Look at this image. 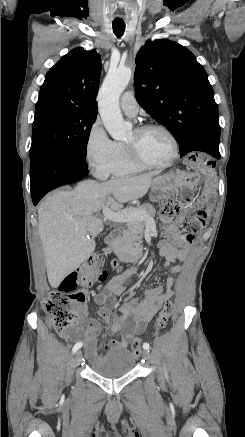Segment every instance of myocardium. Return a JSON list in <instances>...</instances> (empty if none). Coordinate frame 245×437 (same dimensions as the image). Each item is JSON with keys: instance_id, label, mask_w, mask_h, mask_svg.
<instances>
[{"instance_id": "obj_1", "label": "myocardium", "mask_w": 245, "mask_h": 437, "mask_svg": "<svg viewBox=\"0 0 245 437\" xmlns=\"http://www.w3.org/2000/svg\"><path fill=\"white\" fill-rule=\"evenodd\" d=\"M148 130H160L169 138L173 148L170 159L164 163L148 162L137 153L135 147L132 144L124 143L123 145L127 156L132 162L144 168L163 169L171 166L179 156V144L175 135L167 127L156 123L139 125L134 129L135 133L137 134L143 133Z\"/></svg>"}]
</instances>
